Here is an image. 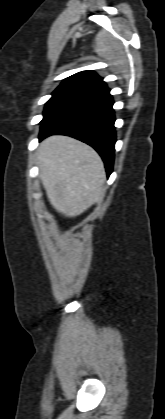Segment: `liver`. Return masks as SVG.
Listing matches in <instances>:
<instances>
[{"label": "liver", "mask_w": 165, "mask_h": 419, "mask_svg": "<svg viewBox=\"0 0 165 419\" xmlns=\"http://www.w3.org/2000/svg\"><path fill=\"white\" fill-rule=\"evenodd\" d=\"M37 164L51 205L66 217L78 216L102 201L104 163L87 144L67 136H51L41 143Z\"/></svg>", "instance_id": "6515ba94"}]
</instances>
